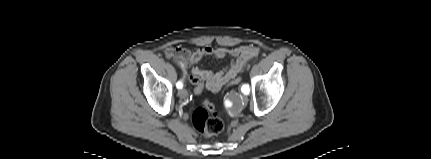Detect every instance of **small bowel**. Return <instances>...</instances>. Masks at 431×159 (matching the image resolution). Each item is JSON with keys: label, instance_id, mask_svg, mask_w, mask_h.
Masks as SVG:
<instances>
[{"label": "small bowel", "instance_id": "c3829d8e", "mask_svg": "<svg viewBox=\"0 0 431 159\" xmlns=\"http://www.w3.org/2000/svg\"><path fill=\"white\" fill-rule=\"evenodd\" d=\"M258 54L259 48L254 45H243L232 48L219 47L216 49L205 46L194 50L170 47L165 50L167 58L176 62L177 65L184 70L191 67V76L201 77L204 80V88L207 87L212 91L220 90L223 86L227 85L228 82L237 78V75L243 71L247 63ZM209 55H214L216 58L230 56L233 60L228 68L217 72H212L197 66V63L202 58Z\"/></svg>", "mask_w": 431, "mask_h": 159}]
</instances>
